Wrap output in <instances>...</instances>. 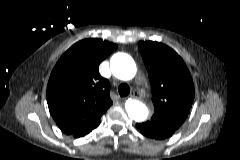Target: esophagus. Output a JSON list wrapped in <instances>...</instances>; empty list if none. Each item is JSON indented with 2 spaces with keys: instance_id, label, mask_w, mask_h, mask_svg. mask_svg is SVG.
Wrapping results in <instances>:
<instances>
[{
  "instance_id": "34e87169",
  "label": "esophagus",
  "mask_w": 240,
  "mask_h": 160,
  "mask_svg": "<svg viewBox=\"0 0 240 160\" xmlns=\"http://www.w3.org/2000/svg\"><path fill=\"white\" fill-rule=\"evenodd\" d=\"M139 97H140V94L137 90H134L130 95V98H133V99H138Z\"/></svg>"
}]
</instances>
